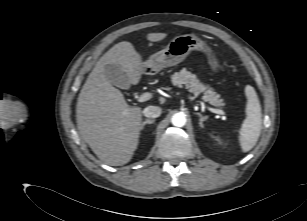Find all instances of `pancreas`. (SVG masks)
Returning <instances> with one entry per match:
<instances>
[{
  "label": "pancreas",
  "mask_w": 307,
  "mask_h": 221,
  "mask_svg": "<svg viewBox=\"0 0 307 221\" xmlns=\"http://www.w3.org/2000/svg\"><path fill=\"white\" fill-rule=\"evenodd\" d=\"M172 83L178 87L184 85L189 92L194 93L196 96L203 94L202 99L215 107H221L224 105L223 99L218 93L209 86L201 83L195 74H192L186 69H182L172 75Z\"/></svg>",
  "instance_id": "pancreas-1"
}]
</instances>
